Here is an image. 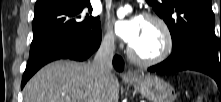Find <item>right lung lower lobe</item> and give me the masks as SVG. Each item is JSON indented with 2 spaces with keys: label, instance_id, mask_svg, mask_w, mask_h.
<instances>
[{
  "label": "right lung lower lobe",
  "instance_id": "obj_1",
  "mask_svg": "<svg viewBox=\"0 0 221 102\" xmlns=\"http://www.w3.org/2000/svg\"><path fill=\"white\" fill-rule=\"evenodd\" d=\"M100 43L101 28L90 37L63 36L48 42L30 55L21 88L45 64L58 59L84 61L99 48ZM113 65L118 71L123 70L124 63L119 56L114 57Z\"/></svg>",
  "mask_w": 221,
  "mask_h": 102
}]
</instances>
